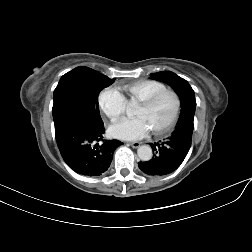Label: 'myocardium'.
Here are the masks:
<instances>
[{
	"label": "myocardium",
	"mask_w": 252,
	"mask_h": 252,
	"mask_svg": "<svg viewBox=\"0 0 252 252\" xmlns=\"http://www.w3.org/2000/svg\"><path fill=\"white\" fill-rule=\"evenodd\" d=\"M167 93L174 96L175 109H174V112H173L169 122L163 128H161L159 130L151 131V133L155 136L166 135L167 133H169L173 129V127L175 126L176 121L178 119L180 110H181V98L176 91H174L173 89L166 88V89L160 90V91L152 94L151 96H149L148 98H146L140 102V105H142L144 107H150L159 97H161L162 95L167 94Z\"/></svg>",
	"instance_id": "1"
}]
</instances>
